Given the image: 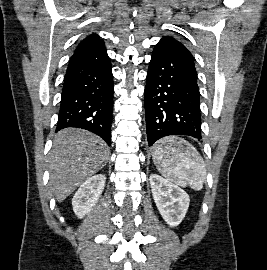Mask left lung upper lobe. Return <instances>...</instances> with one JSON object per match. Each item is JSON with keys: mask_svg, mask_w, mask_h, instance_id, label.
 Instances as JSON below:
<instances>
[{"mask_svg": "<svg viewBox=\"0 0 267 270\" xmlns=\"http://www.w3.org/2000/svg\"><path fill=\"white\" fill-rule=\"evenodd\" d=\"M170 41V42H174L175 44H178V45H180V46H182L186 51H188L187 49H186V47L182 44V43H180L179 41H177V40H175L174 38H172V37H169V36H165V37H163L162 39H161V41ZM189 52V51H188ZM190 53V52H189Z\"/></svg>", "mask_w": 267, "mask_h": 270, "instance_id": "left-lung-upper-lobe-1", "label": "left lung upper lobe"}]
</instances>
